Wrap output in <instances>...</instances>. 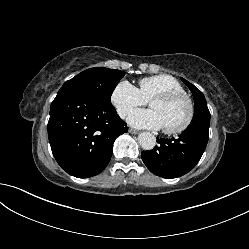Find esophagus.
I'll use <instances>...</instances> for the list:
<instances>
[{
  "mask_svg": "<svg viewBox=\"0 0 249 249\" xmlns=\"http://www.w3.org/2000/svg\"><path fill=\"white\" fill-rule=\"evenodd\" d=\"M128 132L131 134H138L139 133L137 130H134L132 128H129Z\"/></svg>",
  "mask_w": 249,
  "mask_h": 249,
  "instance_id": "esophagus-1",
  "label": "esophagus"
}]
</instances>
